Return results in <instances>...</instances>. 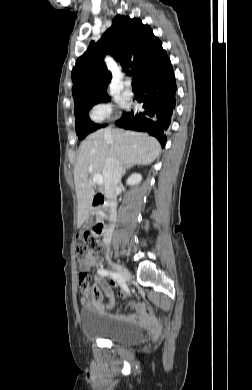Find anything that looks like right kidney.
<instances>
[{"label": "right kidney", "instance_id": "obj_1", "mask_svg": "<svg viewBox=\"0 0 252 390\" xmlns=\"http://www.w3.org/2000/svg\"><path fill=\"white\" fill-rule=\"evenodd\" d=\"M142 176L139 173H134L132 174L128 179H127V184L128 185H135L141 182Z\"/></svg>", "mask_w": 252, "mask_h": 390}]
</instances>
